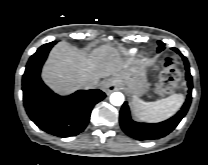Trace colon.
Here are the masks:
<instances>
[{"instance_id":"5ec220e1","label":"colon","mask_w":208,"mask_h":165,"mask_svg":"<svg viewBox=\"0 0 208 165\" xmlns=\"http://www.w3.org/2000/svg\"><path fill=\"white\" fill-rule=\"evenodd\" d=\"M180 79L177 64L172 57L167 56L162 64L159 76L157 91L159 93H169L174 90Z\"/></svg>"}]
</instances>
